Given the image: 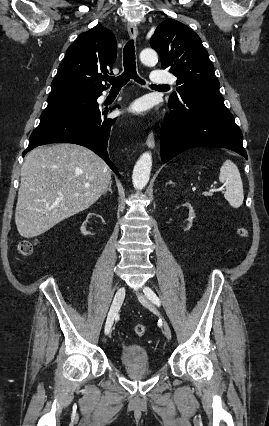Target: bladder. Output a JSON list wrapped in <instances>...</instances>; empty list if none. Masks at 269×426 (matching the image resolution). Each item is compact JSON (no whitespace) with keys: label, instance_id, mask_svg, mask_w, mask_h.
Returning <instances> with one entry per match:
<instances>
[{"label":"bladder","instance_id":"1","mask_svg":"<svg viewBox=\"0 0 269 426\" xmlns=\"http://www.w3.org/2000/svg\"><path fill=\"white\" fill-rule=\"evenodd\" d=\"M119 361L126 369L147 366L150 355L145 348L139 345H129L121 349Z\"/></svg>","mask_w":269,"mask_h":426}]
</instances>
